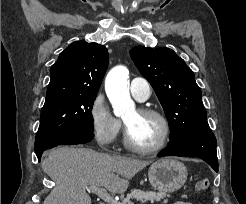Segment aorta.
<instances>
[{
  "mask_svg": "<svg viewBox=\"0 0 246 204\" xmlns=\"http://www.w3.org/2000/svg\"><path fill=\"white\" fill-rule=\"evenodd\" d=\"M128 69L125 66L114 67L105 80V90L117 117H128L136 113L135 103L130 97Z\"/></svg>",
  "mask_w": 246,
  "mask_h": 204,
  "instance_id": "1",
  "label": "aorta"
}]
</instances>
